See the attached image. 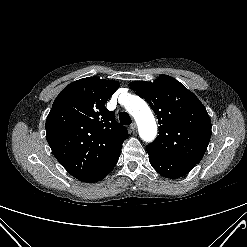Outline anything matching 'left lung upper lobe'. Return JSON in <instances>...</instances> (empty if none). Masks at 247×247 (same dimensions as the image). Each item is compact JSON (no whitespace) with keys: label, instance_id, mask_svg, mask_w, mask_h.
<instances>
[{"label":"left lung upper lobe","instance_id":"obj_1","mask_svg":"<svg viewBox=\"0 0 247 247\" xmlns=\"http://www.w3.org/2000/svg\"><path fill=\"white\" fill-rule=\"evenodd\" d=\"M130 87L157 115L159 136L147 147L172 159L198 164L211 137V121L200 100L176 79L160 75L153 83Z\"/></svg>","mask_w":247,"mask_h":247}]
</instances>
